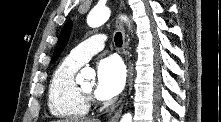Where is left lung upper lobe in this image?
Returning <instances> with one entry per match:
<instances>
[{"label": "left lung upper lobe", "instance_id": "obj_1", "mask_svg": "<svg viewBox=\"0 0 221 122\" xmlns=\"http://www.w3.org/2000/svg\"><path fill=\"white\" fill-rule=\"evenodd\" d=\"M71 28H72V21H68L64 25V27H63V29L61 31V34H60L59 40L57 42V45H56V48H55V51H54L51 63H54L58 59V57L60 56L61 52L65 48L66 43H67V41L69 39V36H70Z\"/></svg>", "mask_w": 221, "mask_h": 122}]
</instances>
